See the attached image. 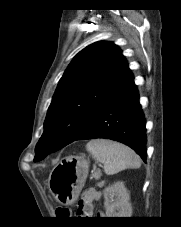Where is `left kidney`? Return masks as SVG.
<instances>
[{"mask_svg": "<svg viewBox=\"0 0 181 227\" xmlns=\"http://www.w3.org/2000/svg\"><path fill=\"white\" fill-rule=\"evenodd\" d=\"M104 207L107 217H131L130 195L124 182H116L104 190Z\"/></svg>", "mask_w": 181, "mask_h": 227, "instance_id": "1", "label": "left kidney"}]
</instances>
